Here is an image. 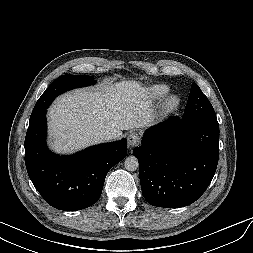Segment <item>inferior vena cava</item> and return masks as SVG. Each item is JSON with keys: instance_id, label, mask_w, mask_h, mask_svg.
<instances>
[{"instance_id": "inferior-vena-cava-1", "label": "inferior vena cava", "mask_w": 253, "mask_h": 253, "mask_svg": "<svg viewBox=\"0 0 253 253\" xmlns=\"http://www.w3.org/2000/svg\"><path fill=\"white\" fill-rule=\"evenodd\" d=\"M101 141H109L115 138V135L109 130H101L98 132Z\"/></svg>"}]
</instances>
